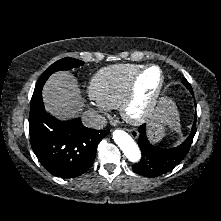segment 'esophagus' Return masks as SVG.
Returning <instances> with one entry per match:
<instances>
[{"instance_id":"34e87169","label":"esophagus","mask_w":221,"mask_h":221,"mask_svg":"<svg viewBox=\"0 0 221 221\" xmlns=\"http://www.w3.org/2000/svg\"><path fill=\"white\" fill-rule=\"evenodd\" d=\"M128 132L130 133V135L133 137V138H138V132L135 131V130H128Z\"/></svg>"}]
</instances>
